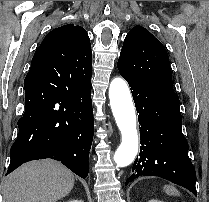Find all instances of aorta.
Masks as SVG:
<instances>
[{
	"label": "aorta",
	"mask_w": 209,
	"mask_h": 202,
	"mask_svg": "<svg viewBox=\"0 0 209 202\" xmlns=\"http://www.w3.org/2000/svg\"><path fill=\"white\" fill-rule=\"evenodd\" d=\"M113 116L121 132V143L114 154L118 167L130 165L139 148L137 118L128 84L123 78H114L109 87Z\"/></svg>",
	"instance_id": "1"
}]
</instances>
